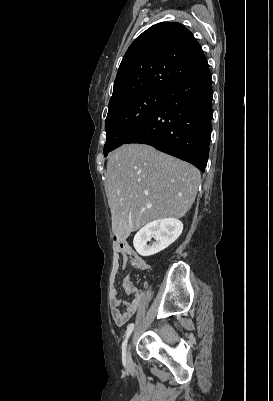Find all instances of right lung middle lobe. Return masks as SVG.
<instances>
[{
  "instance_id": "right-lung-middle-lobe-1",
  "label": "right lung middle lobe",
  "mask_w": 273,
  "mask_h": 401,
  "mask_svg": "<svg viewBox=\"0 0 273 401\" xmlns=\"http://www.w3.org/2000/svg\"><path fill=\"white\" fill-rule=\"evenodd\" d=\"M165 92L142 91L109 103L105 120L107 141L104 145V156L121 146L160 105Z\"/></svg>"
}]
</instances>
